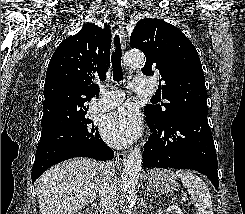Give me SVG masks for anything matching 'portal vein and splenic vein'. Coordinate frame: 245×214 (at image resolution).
Returning a JSON list of instances; mask_svg holds the SVG:
<instances>
[{
  "label": "portal vein and splenic vein",
  "instance_id": "obj_1",
  "mask_svg": "<svg viewBox=\"0 0 245 214\" xmlns=\"http://www.w3.org/2000/svg\"><path fill=\"white\" fill-rule=\"evenodd\" d=\"M187 200V197L186 195L184 194L182 197H181V201H186Z\"/></svg>",
  "mask_w": 245,
  "mask_h": 214
}]
</instances>
